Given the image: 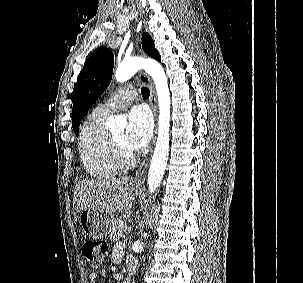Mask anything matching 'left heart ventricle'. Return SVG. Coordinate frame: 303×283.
Listing matches in <instances>:
<instances>
[{
  "instance_id": "b2bd125f",
  "label": "left heart ventricle",
  "mask_w": 303,
  "mask_h": 283,
  "mask_svg": "<svg viewBox=\"0 0 303 283\" xmlns=\"http://www.w3.org/2000/svg\"><path fill=\"white\" fill-rule=\"evenodd\" d=\"M124 133H125L124 130L121 129V130H117V131L113 132L112 136L118 143H120L125 149H127L124 144Z\"/></svg>"
}]
</instances>
